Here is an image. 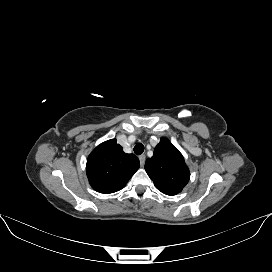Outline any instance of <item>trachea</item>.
<instances>
[{"label":"trachea","mask_w":272,"mask_h":272,"mask_svg":"<svg viewBox=\"0 0 272 272\" xmlns=\"http://www.w3.org/2000/svg\"><path fill=\"white\" fill-rule=\"evenodd\" d=\"M134 152L137 155H141L144 152V145L141 143H138L134 147Z\"/></svg>","instance_id":"trachea-1"}]
</instances>
